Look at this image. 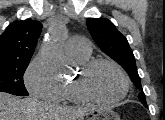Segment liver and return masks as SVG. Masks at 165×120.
I'll list each match as a JSON object with an SVG mask.
<instances>
[{"instance_id":"liver-1","label":"liver","mask_w":165,"mask_h":120,"mask_svg":"<svg viewBox=\"0 0 165 120\" xmlns=\"http://www.w3.org/2000/svg\"><path fill=\"white\" fill-rule=\"evenodd\" d=\"M90 107L63 108L36 98L18 99L0 92V120H80Z\"/></svg>"}]
</instances>
